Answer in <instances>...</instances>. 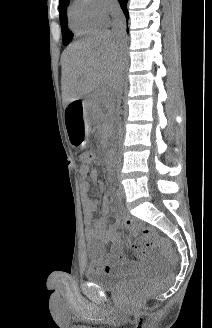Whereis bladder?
Masks as SVG:
<instances>
[{
    "mask_svg": "<svg viewBox=\"0 0 212 328\" xmlns=\"http://www.w3.org/2000/svg\"><path fill=\"white\" fill-rule=\"evenodd\" d=\"M140 276V273H133L129 275H120L107 273L104 271H100L94 267H90L86 271V278L99 285L103 289L107 291H118L123 287L127 286L129 283L135 281Z\"/></svg>",
    "mask_w": 212,
    "mask_h": 328,
    "instance_id": "obj_1",
    "label": "bladder"
}]
</instances>
